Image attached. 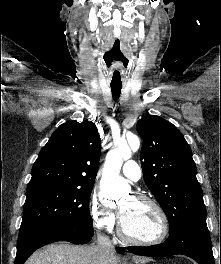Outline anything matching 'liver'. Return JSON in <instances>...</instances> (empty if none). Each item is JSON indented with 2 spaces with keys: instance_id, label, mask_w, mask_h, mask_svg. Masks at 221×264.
<instances>
[{
  "instance_id": "obj_1",
  "label": "liver",
  "mask_w": 221,
  "mask_h": 264,
  "mask_svg": "<svg viewBox=\"0 0 221 264\" xmlns=\"http://www.w3.org/2000/svg\"><path fill=\"white\" fill-rule=\"evenodd\" d=\"M136 264H144L148 258L134 256ZM114 254L102 252L98 245L72 246L54 244L35 252L25 264H119Z\"/></svg>"
}]
</instances>
